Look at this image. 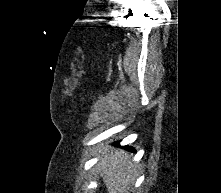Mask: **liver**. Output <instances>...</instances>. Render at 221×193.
<instances>
[{"label": "liver", "instance_id": "6515ba94", "mask_svg": "<svg viewBox=\"0 0 221 193\" xmlns=\"http://www.w3.org/2000/svg\"><path fill=\"white\" fill-rule=\"evenodd\" d=\"M98 162L100 176L103 178L108 193H129L135 181L137 163L132 155L124 150L109 151L105 149Z\"/></svg>", "mask_w": 221, "mask_h": 193}]
</instances>
